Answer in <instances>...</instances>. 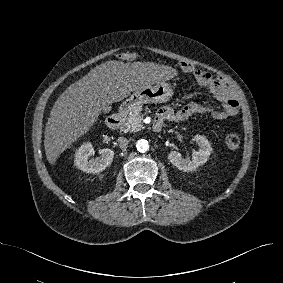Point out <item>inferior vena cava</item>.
Returning <instances> with one entry per match:
<instances>
[{
  "label": "inferior vena cava",
  "mask_w": 283,
  "mask_h": 283,
  "mask_svg": "<svg viewBox=\"0 0 283 283\" xmlns=\"http://www.w3.org/2000/svg\"><path fill=\"white\" fill-rule=\"evenodd\" d=\"M117 142L121 150L125 151L127 149L128 144H129V140L127 138L119 137L117 139Z\"/></svg>",
  "instance_id": "obj_1"
}]
</instances>
